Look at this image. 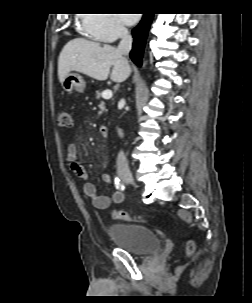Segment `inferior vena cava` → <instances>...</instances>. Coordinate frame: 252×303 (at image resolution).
<instances>
[{
    "instance_id": "602c4592",
    "label": "inferior vena cava",
    "mask_w": 252,
    "mask_h": 303,
    "mask_svg": "<svg viewBox=\"0 0 252 303\" xmlns=\"http://www.w3.org/2000/svg\"><path fill=\"white\" fill-rule=\"evenodd\" d=\"M120 35H121V41L118 45L117 51L122 54L125 60H127L126 56H128L132 48L133 39L128 29L125 28L124 26H121L120 28ZM116 164H117V171L120 175L130 174L128 162L123 151H120L118 153Z\"/></svg>"
}]
</instances>
